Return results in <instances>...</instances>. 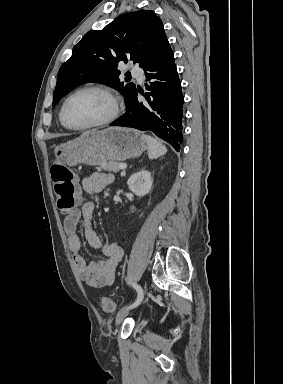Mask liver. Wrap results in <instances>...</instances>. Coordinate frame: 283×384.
Instances as JSON below:
<instances>
[{"label":"liver","mask_w":283,"mask_h":384,"mask_svg":"<svg viewBox=\"0 0 283 384\" xmlns=\"http://www.w3.org/2000/svg\"><path fill=\"white\" fill-rule=\"evenodd\" d=\"M86 134H90V132H85V134H83V136H86Z\"/></svg>","instance_id":"obj_1"}]
</instances>
